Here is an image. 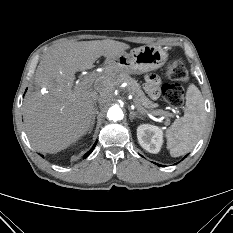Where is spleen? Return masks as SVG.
Here are the masks:
<instances>
[{
	"mask_svg": "<svg viewBox=\"0 0 233 233\" xmlns=\"http://www.w3.org/2000/svg\"><path fill=\"white\" fill-rule=\"evenodd\" d=\"M204 99L199 89L191 84L186 93V109L166 130L167 148L172 157L189 152L198 142L205 126Z\"/></svg>",
	"mask_w": 233,
	"mask_h": 233,
	"instance_id": "obj_1",
	"label": "spleen"
}]
</instances>
